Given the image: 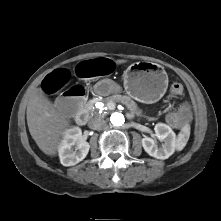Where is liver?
Masks as SVG:
<instances>
[{
    "instance_id": "liver-1",
    "label": "liver",
    "mask_w": 221,
    "mask_h": 221,
    "mask_svg": "<svg viewBox=\"0 0 221 221\" xmlns=\"http://www.w3.org/2000/svg\"><path fill=\"white\" fill-rule=\"evenodd\" d=\"M126 60H117L123 64ZM27 124L30 135L46 155L55 156L70 121L57 112L40 88L33 91L27 105Z\"/></svg>"
}]
</instances>
